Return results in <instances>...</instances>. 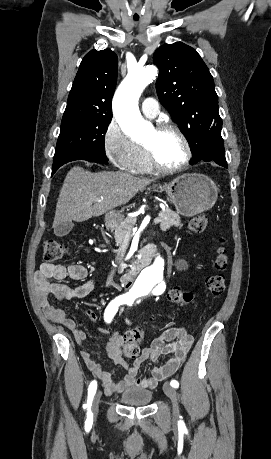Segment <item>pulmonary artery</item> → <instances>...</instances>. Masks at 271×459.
<instances>
[{"label": "pulmonary artery", "instance_id": "1", "mask_svg": "<svg viewBox=\"0 0 271 459\" xmlns=\"http://www.w3.org/2000/svg\"><path fill=\"white\" fill-rule=\"evenodd\" d=\"M141 109L143 114L149 118L156 117L160 112L159 104L154 98L144 99L141 105Z\"/></svg>", "mask_w": 271, "mask_h": 459}]
</instances>
